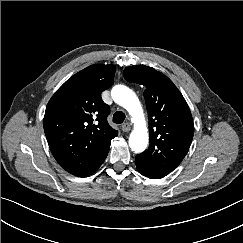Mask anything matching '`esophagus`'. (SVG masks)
<instances>
[{
  "instance_id": "1",
  "label": "esophagus",
  "mask_w": 243,
  "mask_h": 243,
  "mask_svg": "<svg viewBox=\"0 0 243 243\" xmlns=\"http://www.w3.org/2000/svg\"><path fill=\"white\" fill-rule=\"evenodd\" d=\"M130 129H131V127H130V124H129V123H124V124L122 125V131H123V132H129Z\"/></svg>"
}]
</instances>
